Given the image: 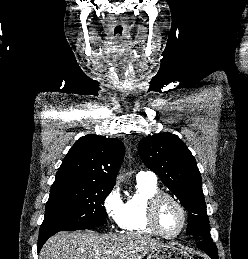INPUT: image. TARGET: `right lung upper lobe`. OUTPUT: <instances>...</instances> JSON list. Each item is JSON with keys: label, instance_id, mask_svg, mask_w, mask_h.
<instances>
[{"label": "right lung upper lobe", "instance_id": "1", "mask_svg": "<svg viewBox=\"0 0 248 259\" xmlns=\"http://www.w3.org/2000/svg\"><path fill=\"white\" fill-rule=\"evenodd\" d=\"M124 153V145L118 139L86 135L68 151L52 186H114Z\"/></svg>", "mask_w": 248, "mask_h": 259}]
</instances>
